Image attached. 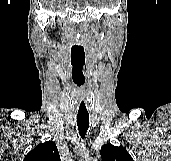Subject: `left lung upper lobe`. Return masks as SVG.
Instances as JSON below:
<instances>
[{
  "label": "left lung upper lobe",
  "mask_w": 171,
  "mask_h": 161,
  "mask_svg": "<svg viewBox=\"0 0 171 161\" xmlns=\"http://www.w3.org/2000/svg\"><path fill=\"white\" fill-rule=\"evenodd\" d=\"M100 155L102 161H134L123 147L113 146L110 143L102 146Z\"/></svg>",
  "instance_id": "left-lung-upper-lobe-1"
}]
</instances>
